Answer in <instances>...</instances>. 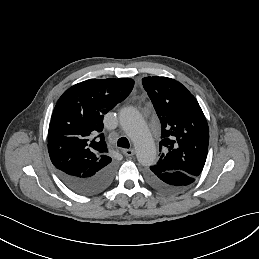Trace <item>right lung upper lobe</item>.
Returning <instances> with one entry per match:
<instances>
[{"mask_svg": "<svg viewBox=\"0 0 259 259\" xmlns=\"http://www.w3.org/2000/svg\"><path fill=\"white\" fill-rule=\"evenodd\" d=\"M134 80L90 79L59 98L48 130V152L57 170L87 177L108 166L104 115L132 91Z\"/></svg>", "mask_w": 259, "mask_h": 259, "instance_id": "1", "label": "right lung upper lobe"}]
</instances>
